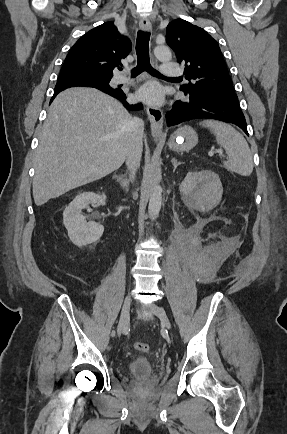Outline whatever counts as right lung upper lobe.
Here are the masks:
<instances>
[{
	"mask_svg": "<svg viewBox=\"0 0 287 434\" xmlns=\"http://www.w3.org/2000/svg\"><path fill=\"white\" fill-rule=\"evenodd\" d=\"M131 51V41L121 35L112 22L84 34L69 51L61 71H87L112 75L121 59ZM56 86H90L78 81L57 82Z\"/></svg>",
	"mask_w": 287,
	"mask_h": 434,
	"instance_id": "1",
	"label": "right lung upper lobe"
}]
</instances>
